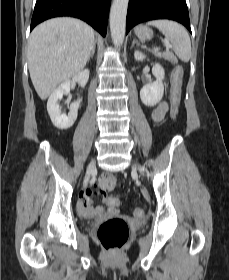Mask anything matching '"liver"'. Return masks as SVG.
Returning <instances> with one entry per match:
<instances>
[{
    "label": "liver",
    "mask_w": 229,
    "mask_h": 280,
    "mask_svg": "<svg viewBox=\"0 0 229 280\" xmlns=\"http://www.w3.org/2000/svg\"><path fill=\"white\" fill-rule=\"evenodd\" d=\"M94 46V30L70 17L38 25L28 42V68L42 100L63 82L80 73Z\"/></svg>",
    "instance_id": "liver-1"
}]
</instances>
